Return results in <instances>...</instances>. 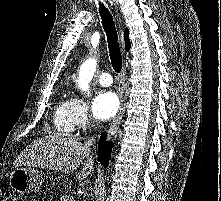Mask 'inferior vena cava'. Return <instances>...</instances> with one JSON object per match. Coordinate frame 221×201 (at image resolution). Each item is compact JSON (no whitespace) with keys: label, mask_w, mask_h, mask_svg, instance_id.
<instances>
[{"label":"inferior vena cava","mask_w":221,"mask_h":201,"mask_svg":"<svg viewBox=\"0 0 221 201\" xmlns=\"http://www.w3.org/2000/svg\"><path fill=\"white\" fill-rule=\"evenodd\" d=\"M86 144H87L88 146H91V145L95 144V138H93V137L89 138V139L87 140Z\"/></svg>","instance_id":"1"}]
</instances>
